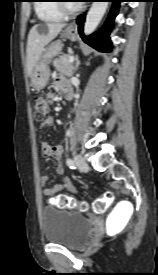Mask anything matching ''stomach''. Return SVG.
<instances>
[{
    "instance_id": "obj_1",
    "label": "stomach",
    "mask_w": 158,
    "mask_h": 275,
    "mask_svg": "<svg viewBox=\"0 0 158 275\" xmlns=\"http://www.w3.org/2000/svg\"><path fill=\"white\" fill-rule=\"evenodd\" d=\"M63 37L75 41L77 34L67 28L63 32ZM62 46L63 44L60 40L52 42L40 55L31 74V83L36 91H40L46 86L50 75L49 63L54 57L61 53Z\"/></svg>"
}]
</instances>
